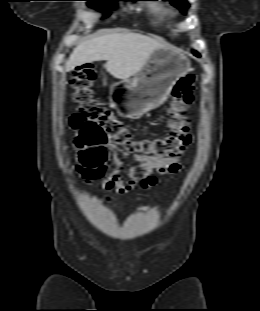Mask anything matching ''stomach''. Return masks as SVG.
<instances>
[{"instance_id": "obj_1", "label": "stomach", "mask_w": 260, "mask_h": 311, "mask_svg": "<svg viewBox=\"0 0 260 311\" xmlns=\"http://www.w3.org/2000/svg\"><path fill=\"white\" fill-rule=\"evenodd\" d=\"M190 71L191 62L183 51L172 47L157 49L132 80L111 85L110 102L120 116L139 119L161 106L176 82Z\"/></svg>"}]
</instances>
